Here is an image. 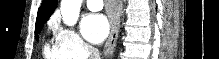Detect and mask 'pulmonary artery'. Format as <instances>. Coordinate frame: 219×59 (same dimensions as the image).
<instances>
[{
    "label": "pulmonary artery",
    "instance_id": "pulmonary-artery-1",
    "mask_svg": "<svg viewBox=\"0 0 219 59\" xmlns=\"http://www.w3.org/2000/svg\"><path fill=\"white\" fill-rule=\"evenodd\" d=\"M86 4L92 11H99L103 8V1L101 0H87Z\"/></svg>",
    "mask_w": 219,
    "mask_h": 59
}]
</instances>
